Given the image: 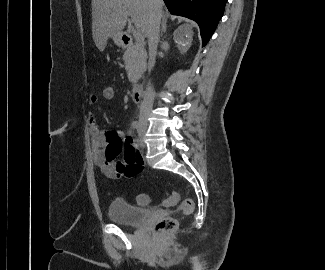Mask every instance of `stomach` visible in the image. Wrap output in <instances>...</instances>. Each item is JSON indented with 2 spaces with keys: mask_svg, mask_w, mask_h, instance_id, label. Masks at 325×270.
<instances>
[{
  "mask_svg": "<svg viewBox=\"0 0 325 270\" xmlns=\"http://www.w3.org/2000/svg\"><path fill=\"white\" fill-rule=\"evenodd\" d=\"M114 42L118 45V46H122L123 45V41H122V35L121 34H116L113 37Z\"/></svg>",
  "mask_w": 325,
  "mask_h": 270,
  "instance_id": "0dacf381",
  "label": "stomach"
}]
</instances>
